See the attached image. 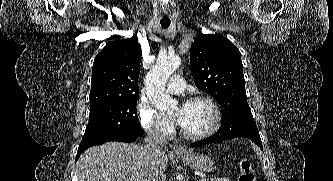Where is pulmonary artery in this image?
<instances>
[{
    "label": "pulmonary artery",
    "instance_id": "pulmonary-artery-1",
    "mask_svg": "<svg viewBox=\"0 0 333 181\" xmlns=\"http://www.w3.org/2000/svg\"><path fill=\"white\" fill-rule=\"evenodd\" d=\"M185 88L184 80L181 76H172L169 80L167 89L171 94H179Z\"/></svg>",
    "mask_w": 333,
    "mask_h": 181
}]
</instances>
